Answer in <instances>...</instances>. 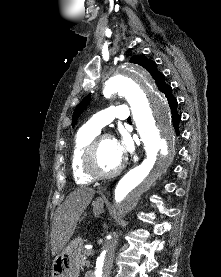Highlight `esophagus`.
Wrapping results in <instances>:
<instances>
[{"instance_id":"obj_1","label":"esophagus","mask_w":221,"mask_h":277,"mask_svg":"<svg viewBox=\"0 0 221 277\" xmlns=\"http://www.w3.org/2000/svg\"><path fill=\"white\" fill-rule=\"evenodd\" d=\"M100 199L102 200V199H104V197H100Z\"/></svg>"}]
</instances>
